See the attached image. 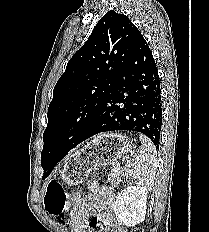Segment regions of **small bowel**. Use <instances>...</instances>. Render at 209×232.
I'll return each mask as SVG.
<instances>
[{
	"label": "small bowel",
	"instance_id": "obj_1",
	"mask_svg": "<svg viewBox=\"0 0 209 232\" xmlns=\"http://www.w3.org/2000/svg\"><path fill=\"white\" fill-rule=\"evenodd\" d=\"M114 200L109 187L91 181L87 193L77 200L69 212L70 232H99L100 226L110 232H126L118 226L112 215Z\"/></svg>",
	"mask_w": 209,
	"mask_h": 232
}]
</instances>
